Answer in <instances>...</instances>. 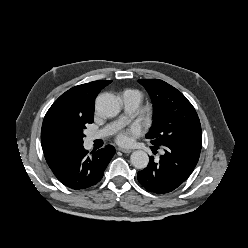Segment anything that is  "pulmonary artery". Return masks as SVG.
<instances>
[{"label":"pulmonary artery","mask_w":248,"mask_h":248,"mask_svg":"<svg viewBox=\"0 0 248 248\" xmlns=\"http://www.w3.org/2000/svg\"><path fill=\"white\" fill-rule=\"evenodd\" d=\"M121 99L123 102L125 114L120 117L116 122L105 126L99 131L90 133L88 135L89 141H94L96 139L111 135L120 125H122L126 121L128 114H131L136 111L141 102V97L131 90L124 91L121 95Z\"/></svg>","instance_id":"obj_1"}]
</instances>
